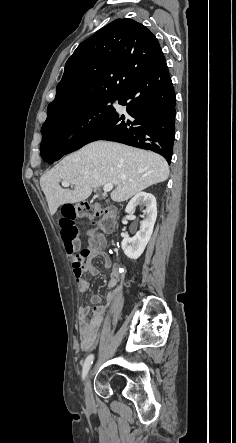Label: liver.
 Instances as JSON below:
<instances>
[{"label": "liver", "mask_w": 236, "mask_h": 443, "mask_svg": "<svg viewBox=\"0 0 236 443\" xmlns=\"http://www.w3.org/2000/svg\"><path fill=\"white\" fill-rule=\"evenodd\" d=\"M169 176L166 160L154 152L107 141L92 142L66 156L40 178L51 215L63 204L86 200L93 189L113 184L114 202H123ZM74 185L63 189L60 181Z\"/></svg>", "instance_id": "obj_1"}]
</instances>
